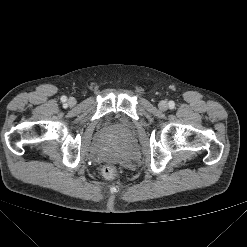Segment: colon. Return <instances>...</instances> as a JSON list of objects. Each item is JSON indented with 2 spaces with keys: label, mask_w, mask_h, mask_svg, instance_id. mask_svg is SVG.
Here are the masks:
<instances>
[{
  "label": "colon",
  "mask_w": 247,
  "mask_h": 247,
  "mask_svg": "<svg viewBox=\"0 0 247 247\" xmlns=\"http://www.w3.org/2000/svg\"><path fill=\"white\" fill-rule=\"evenodd\" d=\"M102 175L106 179H115L118 176V170L114 165H105L102 168Z\"/></svg>",
  "instance_id": "obj_1"
}]
</instances>
